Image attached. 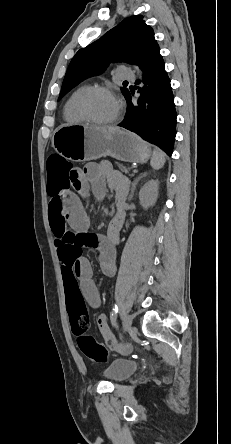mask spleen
Segmentation results:
<instances>
[{
	"mask_svg": "<svg viewBox=\"0 0 231 444\" xmlns=\"http://www.w3.org/2000/svg\"><path fill=\"white\" fill-rule=\"evenodd\" d=\"M150 164L153 169L158 170V169L162 168L165 164V156H164L163 152H161L158 149H154Z\"/></svg>",
	"mask_w": 231,
	"mask_h": 444,
	"instance_id": "1",
	"label": "spleen"
}]
</instances>
